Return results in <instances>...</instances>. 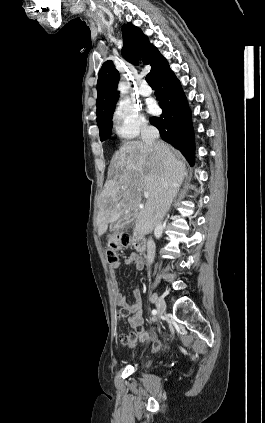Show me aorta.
<instances>
[{
  "label": "aorta",
  "mask_w": 265,
  "mask_h": 423,
  "mask_svg": "<svg viewBox=\"0 0 265 423\" xmlns=\"http://www.w3.org/2000/svg\"><path fill=\"white\" fill-rule=\"evenodd\" d=\"M129 87L125 82H120L118 85V90L121 94H126L128 92Z\"/></svg>",
  "instance_id": "762f6f07"
}]
</instances>
